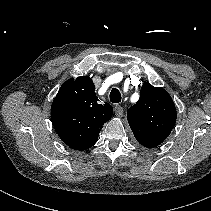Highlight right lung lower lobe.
<instances>
[{
  "mask_svg": "<svg viewBox=\"0 0 211 211\" xmlns=\"http://www.w3.org/2000/svg\"><path fill=\"white\" fill-rule=\"evenodd\" d=\"M69 108L71 106L69 105L68 102H66L63 99H54V102L52 104L51 108V119L52 123L55 128H60V127H68L71 124V117L69 114ZM97 138H95L89 145L88 148L93 146L97 142ZM87 148V149H88Z\"/></svg>",
  "mask_w": 211,
  "mask_h": 211,
  "instance_id": "right-lung-lower-lobe-1",
  "label": "right lung lower lobe"
}]
</instances>
